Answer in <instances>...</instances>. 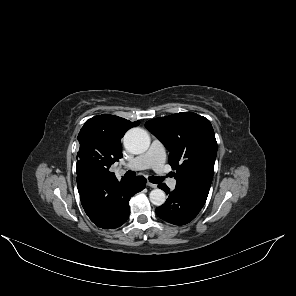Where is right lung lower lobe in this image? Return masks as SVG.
Segmentation results:
<instances>
[{
    "instance_id": "right-lung-lower-lobe-1",
    "label": "right lung lower lobe",
    "mask_w": 296,
    "mask_h": 296,
    "mask_svg": "<svg viewBox=\"0 0 296 296\" xmlns=\"http://www.w3.org/2000/svg\"><path fill=\"white\" fill-rule=\"evenodd\" d=\"M76 173L81 204L90 220L103 229L124 224L130 214V198L146 186L142 176L118 181L115 175L97 174L84 161L77 162Z\"/></svg>"
}]
</instances>
